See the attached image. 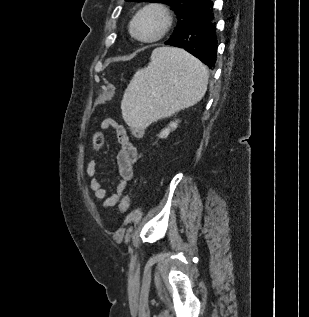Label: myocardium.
<instances>
[{
	"instance_id": "obj_1",
	"label": "myocardium",
	"mask_w": 309,
	"mask_h": 317,
	"mask_svg": "<svg viewBox=\"0 0 309 317\" xmlns=\"http://www.w3.org/2000/svg\"><path fill=\"white\" fill-rule=\"evenodd\" d=\"M149 12L155 13L161 18V26L158 32L152 37H142L138 30V22L144 14ZM172 23H173V18L170 11L161 4L152 3V4L145 5L135 14L131 23V29L136 39L145 43H152L163 38L167 34V32L170 30Z\"/></svg>"
}]
</instances>
